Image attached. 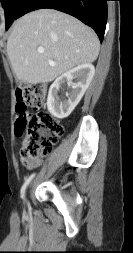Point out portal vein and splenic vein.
Masks as SVG:
<instances>
[{
	"mask_svg": "<svg viewBox=\"0 0 133 253\" xmlns=\"http://www.w3.org/2000/svg\"><path fill=\"white\" fill-rule=\"evenodd\" d=\"M37 51H38V53H44V49H43L42 47H39V48L37 49ZM49 63H50L51 65H55V63H54L52 60H49Z\"/></svg>",
	"mask_w": 133,
	"mask_h": 253,
	"instance_id": "1",
	"label": "portal vein and splenic vein"
}]
</instances>
